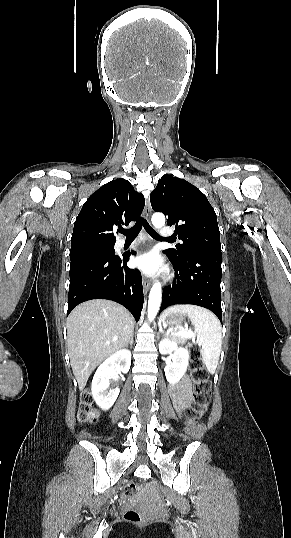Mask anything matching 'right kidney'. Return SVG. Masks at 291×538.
Returning a JSON list of instances; mask_svg holds the SVG:
<instances>
[{"instance_id":"right-kidney-1","label":"right kidney","mask_w":291,"mask_h":538,"mask_svg":"<svg viewBox=\"0 0 291 538\" xmlns=\"http://www.w3.org/2000/svg\"><path fill=\"white\" fill-rule=\"evenodd\" d=\"M131 365V352L121 349L108 357L96 370L92 380V396L102 410H108L116 401L120 389H109V379L118 380V374L127 373Z\"/></svg>"}]
</instances>
